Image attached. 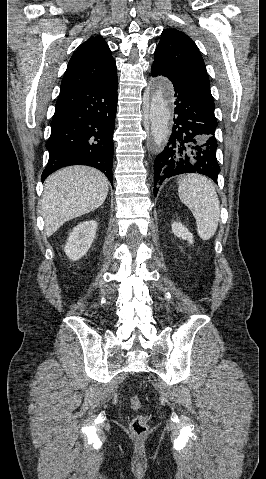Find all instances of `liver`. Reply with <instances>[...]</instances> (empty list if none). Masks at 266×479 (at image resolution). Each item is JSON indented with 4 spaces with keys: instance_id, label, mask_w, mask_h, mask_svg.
Here are the masks:
<instances>
[{
    "instance_id": "liver-1",
    "label": "liver",
    "mask_w": 266,
    "mask_h": 479,
    "mask_svg": "<svg viewBox=\"0 0 266 479\" xmlns=\"http://www.w3.org/2000/svg\"><path fill=\"white\" fill-rule=\"evenodd\" d=\"M109 181L97 169L71 166L56 171L44 183L41 213L49 237L64 223L100 207Z\"/></svg>"
}]
</instances>
